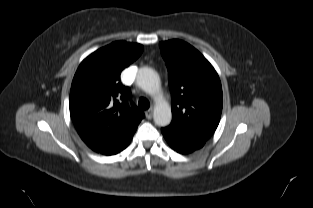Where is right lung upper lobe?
Wrapping results in <instances>:
<instances>
[{
    "instance_id": "right-lung-upper-lobe-1",
    "label": "right lung upper lobe",
    "mask_w": 313,
    "mask_h": 208,
    "mask_svg": "<svg viewBox=\"0 0 313 208\" xmlns=\"http://www.w3.org/2000/svg\"><path fill=\"white\" fill-rule=\"evenodd\" d=\"M137 43L116 41L85 58L70 90V115L81 137L133 136L144 113L130 108L129 87L120 81L124 68L142 53Z\"/></svg>"
}]
</instances>
